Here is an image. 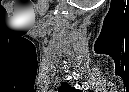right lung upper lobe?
<instances>
[{
	"label": "right lung upper lobe",
	"instance_id": "right-lung-upper-lobe-1",
	"mask_svg": "<svg viewBox=\"0 0 129 92\" xmlns=\"http://www.w3.org/2000/svg\"><path fill=\"white\" fill-rule=\"evenodd\" d=\"M59 90H63V91H69V92H74L76 91L74 88L70 87L68 84L66 83H62L61 87L59 88Z\"/></svg>",
	"mask_w": 129,
	"mask_h": 92
}]
</instances>
